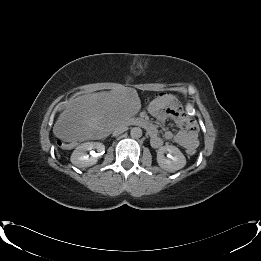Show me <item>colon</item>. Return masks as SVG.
Instances as JSON below:
<instances>
[{"mask_svg": "<svg viewBox=\"0 0 261 261\" xmlns=\"http://www.w3.org/2000/svg\"><path fill=\"white\" fill-rule=\"evenodd\" d=\"M63 147H72L73 144L72 143H62ZM186 153L188 155H194L196 153V149L194 147H189L186 149Z\"/></svg>", "mask_w": 261, "mask_h": 261, "instance_id": "1", "label": "colon"}]
</instances>
